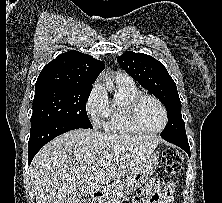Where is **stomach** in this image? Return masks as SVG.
Here are the masks:
<instances>
[{
  "instance_id": "0dacf381",
  "label": "stomach",
  "mask_w": 222,
  "mask_h": 203,
  "mask_svg": "<svg viewBox=\"0 0 222 203\" xmlns=\"http://www.w3.org/2000/svg\"><path fill=\"white\" fill-rule=\"evenodd\" d=\"M158 164V153H151L142 162L141 166L124 178L121 183L123 194H130L140 188L153 174Z\"/></svg>"
}]
</instances>
